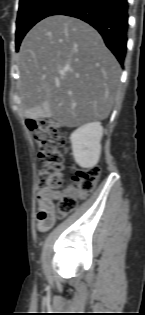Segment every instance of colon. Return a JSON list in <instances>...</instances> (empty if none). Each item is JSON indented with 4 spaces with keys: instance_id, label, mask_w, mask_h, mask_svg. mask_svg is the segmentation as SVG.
<instances>
[{
    "instance_id": "colon-1",
    "label": "colon",
    "mask_w": 145,
    "mask_h": 315,
    "mask_svg": "<svg viewBox=\"0 0 145 315\" xmlns=\"http://www.w3.org/2000/svg\"><path fill=\"white\" fill-rule=\"evenodd\" d=\"M27 126L38 144L39 160L43 166L38 175V186L42 191H57L62 187V155L59 147L65 144L57 125L45 119H28ZM100 169L93 166L76 170L72 177L69 191L58 199V215L72 212L77 205V198L90 193L99 179Z\"/></svg>"
}]
</instances>
